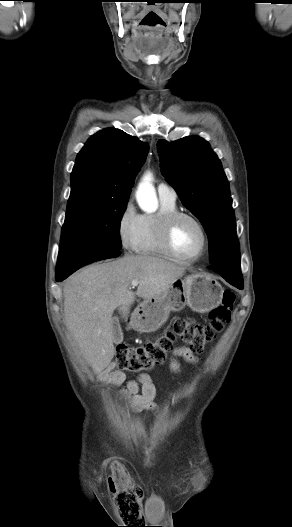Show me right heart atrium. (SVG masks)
<instances>
[{"instance_id": "1", "label": "right heart atrium", "mask_w": 292, "mask_h": 527, "mask_svg": "<svg viewBox=\"0 0 292 527\" xmlns=\"http://www.w3.org/2000/svg\"><path fill=\"white\" fill-rule=\"evenodd\" d=\"M140 214L134 203L129 200L122 208L117 221V234L122 247L134 250Z\"/></svg>"}]
</instances>
